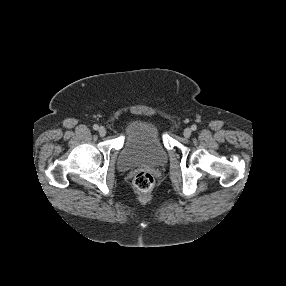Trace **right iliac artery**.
<instances>
[{"mask_svg":"<svg viewBox=\"0 0 286 286\" xmlns=\"http://www.w3.org/2000/svg\"><path fill=\"white\" fill-rule=\"evenodd\" d=\"M93 129H94V130H98V129H99V126H98L97 124H95V125L93 126Z\"/></svg>","mask_w":286,"mask_h":286,"instance_id":"obj_1","label":"right iliac artery"}]
</instances>
